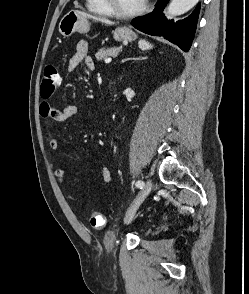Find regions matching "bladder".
I'll return each instance as SVG.
<instances>
[{"label":"bladder","mask_w":249,"mask_h":294,"mask_svg":"<svg viewBox=\"0 0 249 294\" xmlns=\"http://www.w3.org/2000/svg\"><path fill=\"white\" fill-rule=\"evenodd\" d=\"M107 237H108V239H112L113 233L112 232H109Z\"/></svg>","instance_id":"obj_1"}]
</instances>
